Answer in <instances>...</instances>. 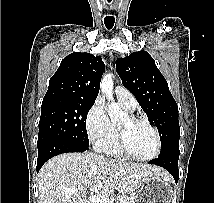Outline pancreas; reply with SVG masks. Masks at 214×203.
<instances>
[{
  "label": "pancreas",
  "mask_w": 214,
  "mask_h": 203,
  "mask_svg": "<svg viewBox=\"0 0 214 203\" xmlns=\"http://www.w3.org/2000/svg\"><path fill=\"white\" fill-rule=\"evenodd\" d=\"M118 203H135V201L132 198L122 196V197H119Z\"/></svg>",
  "instance_id": "1"
}]
</instances>
